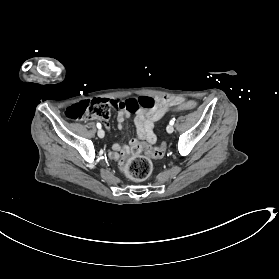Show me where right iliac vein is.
I'll list each match as a JSON object with an SVG mask.
<instances>
[{"mask_svg":"<svg viewBox=\"0 0 279 279\" xmlns=\"http://www.w3.org/2000/svg\"><path fill=\"white\" fill-rule=\"evenodd\" d=\"M97 134L99 138H103L105 136V132L102 129H99Z\"/></svg>","mask_w":279,"mask_h":279,"instance_id":"1","label":"right iliac vein"}]
</instances>
